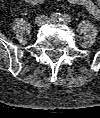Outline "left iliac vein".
Segmentation results:
<instances>
[{
  "mask_svg": "<svg viewBox=\"0 0 100 118\" xmlns=\"http://www.w3.org/2000/svg\"><path fill=\"white\" fill-rule=\"evenodd\" d=\"M48 23H56L52 18L48 19Z\"/></svg>",
  "mask_w": 100,
  "mask_h": 118,
  "instance_id": "left-iliac-vein-1",
  "label": "left iliac vein"
}]
</instances>
